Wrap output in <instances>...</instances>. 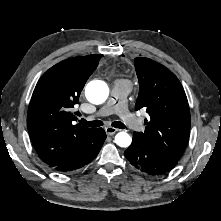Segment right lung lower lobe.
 Returning a JSON list of instances; mask_svg holds the SVG:
<instances>
[{
	"label": "right lung lower lobe",
	"instance_id": "right-lung-lower-lobe-1",
	"mask_svg": "<svg viewBox=\"0 0 221 221\" xmlns=\"http://www.w3.org/2000/svg\"><path fill=\"white\" fill-rule=\"evenodd\" d=\"M105 139V131L102 128L96 129L91 142L86 146L84 150L68 158L61 164L55 166L53 169L59 172H71L82 168L83 166L90 163L97 156Z\"/></svg>",
	"mask_w": 221,
	"mask_h": 221
}]
</instances>
